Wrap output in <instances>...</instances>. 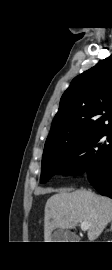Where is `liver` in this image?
I'll return each instance as SVG.
<instances>
[{
  "instance_id": "1",
  "label": "liver",
  "mask_w": 112,
  "mask_h": 270,
  "mask_svg": "<svg viewBox=\"0 0 112 270\" xmlns=\"http://www.w3.org/2000/svg\"><path fill=\"white\" fill-rule=\"evenodd\" d=\"M83 221L89 223L87 236L93 242L112 222V199L85 189L74 192L58 191L45 205V242H51L53 230L74 229Z\"/></svg>"
}]
</instances>
